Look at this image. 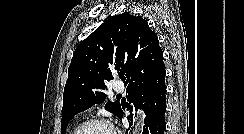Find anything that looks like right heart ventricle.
<instances>
[{"instance_id":"1","label":"right heart ventricle","mask_w":244,"mask_h":134,"mask_svg":"<svg viewBox=\"0 0 244 134\" xmlns=\"http://www.w3.org/2000/svg\"><path fill=\"white\" fill-rule=\"evenodd\" d=\"M76 128H77V126L74 127V128L72 129V131H71L69 134H73Z\"/></svg>"}]
</instances>
